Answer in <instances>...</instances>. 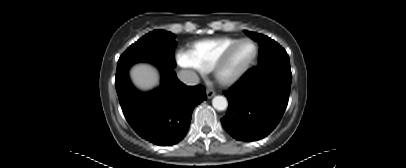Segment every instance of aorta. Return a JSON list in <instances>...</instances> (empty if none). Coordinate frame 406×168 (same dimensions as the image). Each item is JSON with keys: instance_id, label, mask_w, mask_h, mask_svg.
Returning a JSON list of instances; mask_svg holds the SVG:
<instances>
[{"instance_id": "obj_1", "label": "aorta", "mask_w": 406, "mask_h": 168, "mask_svg": "<svg viewBox=\"0 0 406 168\" xmlns=\"http://www.w3.org/2000/svg\"><path fill=\"white\" fill-rule=\"evenodd\" d=\"M213 107L218 111H223L228 107V101L224 96H215L212 100Z\"/></svg>"}]
</instances>
